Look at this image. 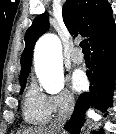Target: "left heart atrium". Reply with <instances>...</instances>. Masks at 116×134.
<instances>
[{"instance_id":"obj_1","label":"left heart atrium","mask_w":116,"mask_h":134,"mask_svg":"<svg viewBox=\"0 0 116 134\" xmlns=\"http://www.w3.org/2000/svg\"><path fill=\"white\" fill-rule=\"evenodd\" d=\"M86 85L85 75L81 71H75L71 77V86L73 90L80 91Z\"/></svg>"}]
</instances>
